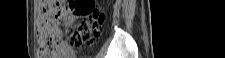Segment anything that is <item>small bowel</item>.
Returning <instances> with one entry per match:
<instances>
[{
	"label": "small bowel",
	"instance_id": "small-bowel-1",
	"mask_svg": "<svg viewBox=\"0 0 225 58\" xmlns=\"http://www.w3.org/2000/svg\"><path fill=\"white\" fill-rule=\"evenodd\" d=\"M69 25L74 22V17L68 18L66 21ZM65 58H73V50L69 46H65Z\"/></svg>",
	"mask_w": 225,
	"mask_h": 58
}]
</instances>
